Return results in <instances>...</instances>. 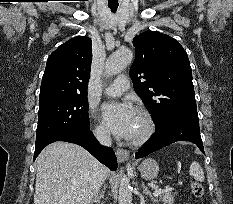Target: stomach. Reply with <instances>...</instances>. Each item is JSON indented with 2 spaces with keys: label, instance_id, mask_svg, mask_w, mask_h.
Instances as JSON below:
<instances>
[{
  "label": "stomach",
  "instance_id": "0dacf381",
  "mask_svg": "<svg viewBox=\"0 0 233 204\" xmlns=\"http://www.w3.org/2000/svg\"><path fill=\"white\" fill-rule=\"evenodd\" d=\"M141 176L146 180H152L157 177L159 172V166L153 159L144 160L138 167Z\"/></svg>",
  "mask_w": 233,
  "mask_h": 204
}]
</instances>
